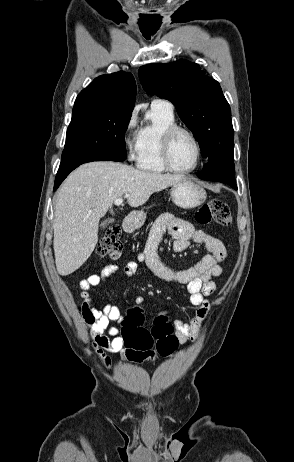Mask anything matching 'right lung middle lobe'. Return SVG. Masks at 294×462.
Listing matches in <instances>:
<instances>
[{
  "mask_svg": "<svg viewBox=\"0 0 294 462\" xmlns=\"http://www.w3.org/2000/svg\"><path fill=\"white\" fill-rule=\"evenodd\" d=\"M131 112L73 110L59 169L91 161L126 159L124 134Z\"/></svg>",
  "mask_w": 294,
  "mask_h": 462,
  "instance_id": "obj_1",
  "label": "right lung middle lobe"
}]
</instances>
